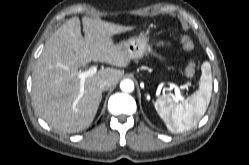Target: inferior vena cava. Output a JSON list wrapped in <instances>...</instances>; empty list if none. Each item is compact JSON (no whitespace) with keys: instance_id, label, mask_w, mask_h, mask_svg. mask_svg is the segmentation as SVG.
<instances>
[{"instance_id":"inferior-vena-cava-1","label":"inferior vena cava","mask_w":249,"mask_h":165,"mask_svg":"<svg viewBox=\"0 0 249 165\" xmlns=\"http://www.w3.org/2000/svg\"><path fill=\"white\" fill-rule=\"evenodd\" d=\"M112 87V83H111V81H109V80H102V81H100V83H99V88L101 89V90H108V89H110Z\"/></svg>"}]
</instances>
